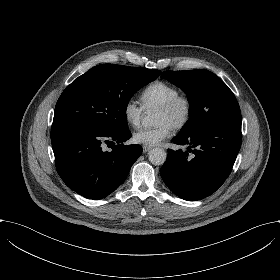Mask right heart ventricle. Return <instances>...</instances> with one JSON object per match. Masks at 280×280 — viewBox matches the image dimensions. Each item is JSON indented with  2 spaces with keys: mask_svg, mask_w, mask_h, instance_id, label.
Returning a JSON list of instances; mask_svg holds the SVG:
<instances>
[{
  "mask_svg": "<svg viewBox=\"0 0 280 280\" xmlns=\"http://www.w3.org/2000/svg\"><path fill=\"white\" fill-rule=\"evenodd\" d=\"M179 94L180 90L176 86L164 81H154L142 90L140 98L143 107L151 110Z\"/></svg>",
  "mask_w": 280,
  "mask_h": 280,
  "instance_id": "e07e8e85",
  "label": "right heart ventricle"
}]
</instances>
